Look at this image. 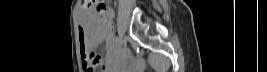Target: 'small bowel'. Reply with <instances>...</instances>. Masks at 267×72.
Wrapping results in <instances>:
<instances>
[{"instance_id": "c3829d8e", "label": "small bowel", "mask_w": 267, "mask_h": 72, "mask_svg": "<svg viewBox=\"0 0 267 72\" xmlns=\"http://www.w3.org/2000/svg\"><path fill=\"white\" fill-rule=\"evenodd\" d=\"M108 17L111 19L112 18V11H110V13L108 14ZM88 24L92 27L95 28V37L99 40H105L106 41V45H105V50L107 52L108 55H111L113 53V44L111 41V37L109 35L110 31H111V27L108 30H103L101 28L102 24L100 20L97 19H92L89 18L87 19ZM87 47L84 48L83 50H81V58H82V63L85 66L87 64ZM101 59V57H100ZM104 71L107 72L109 70L108 65L104 64L103 65Z\"/></svg>"}]
</instances>
